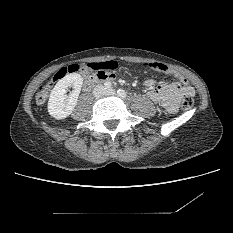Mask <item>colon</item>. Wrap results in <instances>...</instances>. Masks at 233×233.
Returning <instances> with one entry per match:
<instances>
[{
  "mask_svg": "<svg viewBox=\"0 0 233 233\" xmlns=\"http://www.w3.org/2000/svg\"><path fill=\"white\" fill-rule=\"evenodd\" d=\"M141 66L150 68L157 72L173 74V70L171 69V67L160 61L143 63L141 64ZM81 70H83V65L80 63H74V64H71L69 66L59 69L54 74L50 82L40 86L35 96L36 102L39 104L45 102L49 95L51 88L53 87L55 83L63 80L67 75L72 74V73H77ZM193 104H194L193 98L190 95H186L182 100V109L185 112H189L192 110Z\"/></svg>",
  "mask_w": 233,
  "mask_h": 233,
  "instance_id": "colon-1",
  "label": "colon"
}]
</instances>
